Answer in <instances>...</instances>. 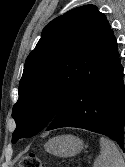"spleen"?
Instances as JSON below:
<instances>
[{
	"mask_svg": "<svg viewBox=\"0 0 125 167\" xmlns=\"http://www.w3.org/2000/svg\"><path fill=\"white\" fill-rule=\"evenodd\" d=\"M100 155L94 161L93 167H125V161L117 146L111 140L100 138Z\"/></svg>",
	"mask_w": 125,
	"mask_h": 167,
	"instance_id": "spleen-1",
	"label": "spleen"
}]
</instances>
